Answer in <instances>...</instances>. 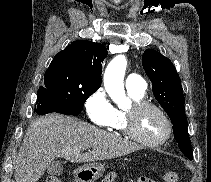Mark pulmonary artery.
<instances>
[{"label": "pulmonary artery", "mask_w": 211, "mask_h": 182, "mask_svg": "<svg viewBox=\"0 0 211 182\" xmlns=\"http://www.w3.org/2000/svg\"><path fill=\"white\" fill-rule=\"evenodd\" d=\"M125 87L129 92L144 95L147 85L141 75L131 73L126 78Z\"/></svg>", "instance_id": "pulmonary-artery-1"}]
</instances>
